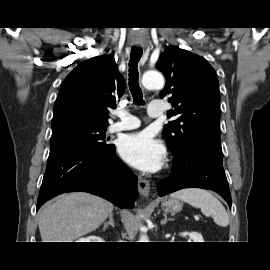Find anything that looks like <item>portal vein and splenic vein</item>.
Instances as JSON below:
<instances>
[{"mask_svg":"<svg viewBox=\"0 0 270 270\" xmlns=\"http://www.w3.org/2000/svg\"><path fill=\"white\" fill-rule=\"evenodd\" d=\"M195 220H199V217L198 216H195Z\"/></svg>","mask_w":270,"mask_h":270,"instance_id":"portal-vein-and-splenic-vein-1","label":"portal vein and splenic vein"}]
</instances>
